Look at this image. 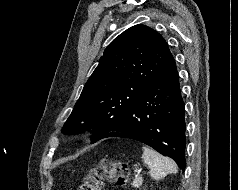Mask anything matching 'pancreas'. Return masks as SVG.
Listing matches in <instances>:
<instances>
[{
    "instance_id": "1",
    "label": "pancreas",
    "mask_w": 238,
    "mask_h": 190,
    "mask_svg": "<svg viewBox=\"0 0 238 190\" xmlns=\"http://www.w3.org/2000/svg\"><path fill=\"white\" fill-rule=\"evenodd\" d=\"M143 183V179L141 177H137L133 181V187L139 188Z\"/></svg>"
}]
</instances>
